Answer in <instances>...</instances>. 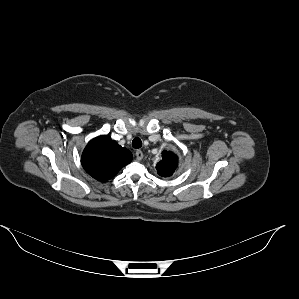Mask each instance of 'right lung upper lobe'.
I'll return each instance as SVG.
<instances>
[{
  "label": "right lung upper lobe",
  "mask_w": 299,
  "mask_h": 299,
  "mask_svg": "<svg viewBox=\"0 0 299 299\" xmlns=\"http://www.w3.org/2000/svg\"><path fill=\"white\" fill-rule=\"evenodd\" d=\"M131 152L121 147L110 136H99L91 140L82 153V166L98 181H107L132 161Z\"/></svg>",
  "instance_id": "right-lung-upper-lobe-1"
}]
</instances>
